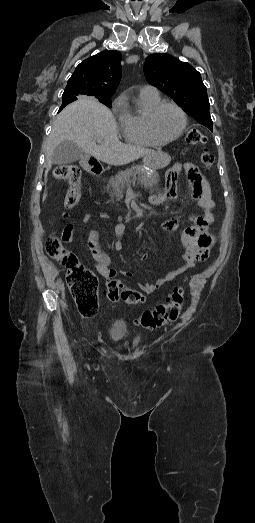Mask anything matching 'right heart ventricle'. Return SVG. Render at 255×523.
I'll return each instance as SVG.
<instances>
[{
	"label": "right heart ventricle",
	"mask_w": 255,
	"mask_h": 523,
	"mask_svg": "<svg viewBox=\"0 0 255 523\" xmlns=\"http://www.w3.org/2000/svg\"><path fill=\"white\" fill-rule=\"evenodd\" d=\"M159 102V93L141 91L136 107H124L118 115V126L122 138L135 146H152L158 142L149 134L146 127L148 112Z\"/></svg>",
	"instance_id": "e07e8e85"
}]
</instances>
